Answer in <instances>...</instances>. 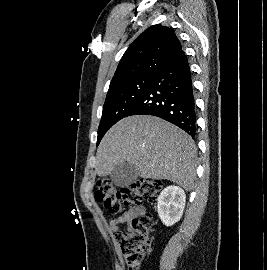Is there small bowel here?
<instances>
[{
  "label": "small bowel",
  "instance_id": "c3829d8e",
  "mask_svg": "<svg viewBox=\"0 0 267 270\" xmlns=\"http://www.w3.org/2000/svg\"><path fill=\"white\" fill-rule=\"evenodd\" d=\"M143 213L142 208H131L125 211L121 216L112 218L109 220V228L112 232L117 233L119 232L121 224H127L128 226L130 223L135 219L138 218Z\"/></svg>",
  "mask_w": 267,
  "mask_h": 270
}]
</instances>
